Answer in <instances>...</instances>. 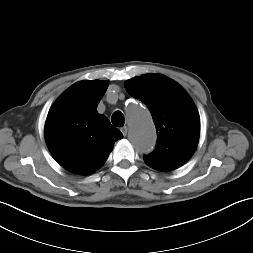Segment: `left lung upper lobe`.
<instances>
[{
  "instance_id": "5c2ea615",
  "label": "left lung upper lobe",
  "mask_w": 253,
  "mask_h": 253,
  "mask_svg": "<svg viewBox=\"0 0 253 253\" xmlns=\"http://www.w3.org/2000/svg\"><path fill=\"white\" fill-rule=\"evenodd\" d=\"M125 88L146 104L156 126V148L144 156L145 163L158 171H170L187 162L200 135V117L188 93L161 74L134 77L126 81Z\"/></svg>"
}]
</instances>
